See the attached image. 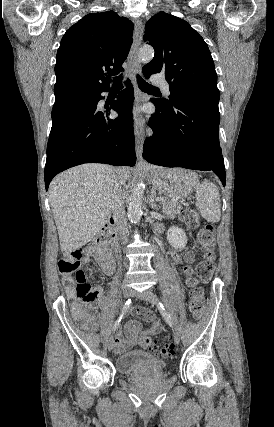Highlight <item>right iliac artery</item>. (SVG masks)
<instances>
[{
	"label": "right iliac artery",
	"mask_w": 274,
	"mask_h": 427,
	"mask_svg": "<svg viewBox=\"0 0 274 427\" xmlns=\"http://www.w3.org/2000/svg\"><path fill=\"white\" fill-rule=\"evenodd\" d=\"M130 305H131V299H128L122 308V311L120 313L119 318L117 319V321L115 322V324L113 326V329H112L113 333H115V331L118 329L120 322L125 317L126 313L128 312Z\"/></svg>",
	"instance_id": "82829eb1"
}]
</instances>
